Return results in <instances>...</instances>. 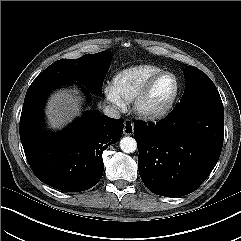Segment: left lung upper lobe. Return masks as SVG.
<instances>
[{"label":"left lung upper lobe","instance_id":"obj_1","mask_svg":"<svg viewBox=\"0 0 241 241\" xmlns=\"http://www.w3.org/2000/svg\"><path fill=\"white\" fill-rule=\"evenodd\" d=\"M183 72L185 75V91L180 103L197 99L221 101L216 86L204 72L192 66H187Z\"/></svg>","mask_w":241,"mask_h":241}]
</instances>
